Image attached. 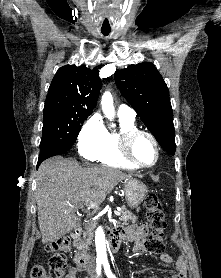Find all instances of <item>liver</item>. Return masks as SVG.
<instances>
[{
  "instance_id": "liver-1",
  "label": "liver",
  "mask_w": 221,
  "mask_h": 278,
  "mask_svg": "<svg viewBox=\"0 0 221 278\" xmlns=\"http://www.w3.org/2000/svg\"><path fill=\"white\" fill-rule=\"evenodd\" d=\"M131 178L119 170L82 167L75 159L53 157L37 172L35 198L42 242H53L76 227V210L90 199L102 203L117 183Z\"/></svg>"
}]
</instances>
